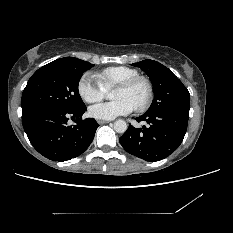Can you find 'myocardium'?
Masks as SVG:
<instances>
[{
	"mask_svg": "<svg viewBox=\"0 0 233 233\" xmlns=\"http://www.w3.org/2000/svg\"><path fill=\"white\" fill-rule=\"evenodd\" d=\"M139 82L144 84L146 88V96L143 102L140 105L136 106L134 109L138 112H143L149 108L154 97V87L151 80L148 77L139 74L135 75L125 81L118 83L116 85V88L131 89Z\"/></svg>",
	"mask_w": 233,
	"mask_h": 233,
	"instance_id": "1",
	"label": "myocardium"
}]
</instances>
